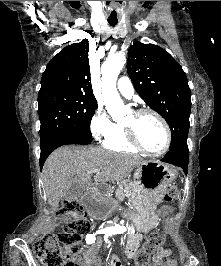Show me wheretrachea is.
Listing matches in <instances>:
<instances>
[{
    "instance_id": "trachea-1",
    "label": "trachea",
    "mask_w": 221,
    "mask_h": 266,
    "mask_svg": "<svg viewBox=\"0 0 221 266\" xmlns=\"http://www.w3.org/2000/svg\"><path fill=\"white\" fill-rule=\"evenodd\" d=\"M108 23L110 24V26H115L117 24V21L109 20Z\"/></svg>"
}]
</instances>
